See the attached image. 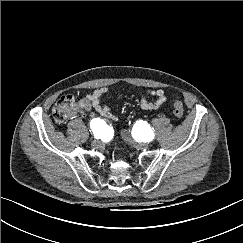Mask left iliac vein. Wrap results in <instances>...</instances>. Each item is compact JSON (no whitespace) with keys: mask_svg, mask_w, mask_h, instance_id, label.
Here are the masks:
<instances>
[{"mask_svg":"<svg viewBox=\"0 0 243 243\" xmlns=\"http://www.w3.org/2000/svg\"><path fill=\"white\" fill-rule=\"evenodd\" d=\"M121 135H122L123 139H124L128 144H130V145H132V146H134V147H136V148H147V147H148V145L145 144V143H138V142H135V141L132 139L130 133H129L128 131H126V130H123V131L121 132Z\"/></svg>","mask_w":243,"mask_h":243,"instance_id":"left-iliac-vein-1","label":"left iliac vein"}]
</instances>
